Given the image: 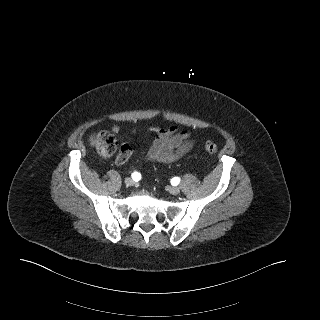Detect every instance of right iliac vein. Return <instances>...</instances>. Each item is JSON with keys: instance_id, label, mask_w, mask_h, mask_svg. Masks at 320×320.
I'll return each mask as SVG.
<instances>
[{"instance_id": "63e3f726", "label": "right iliac vein", "mask_w": 320, "mask_h": 320, "mask_svg": "<svg viewBox=\"0 0 320 320\" xmlns=\"http://www.w3.org/2000/svg\"><path fill=\"white\" fill-rule=\"evenodd\" d=\"M124 182L127 186H132L134 184L133 179L130 177H127Z\"/></svg>"}]
</instances>
